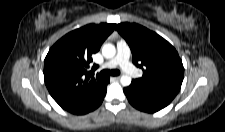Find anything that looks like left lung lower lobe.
<instances>
[{"label":"left lung lower lobe","instance_id":"1","mask_svg":"<svg viewBox=\"0 0 225 132\" xmlns=\"http://www.w3.org/2000/svg\"><path fill=\"white\" fill-rule=\"evenodd\" d=\"M124 93L133 107L148 113L166 107L176 96L169 92L147 90L134 83L124 88Z\"/></svg>","mask_w":225,"mask_h":132}]
</instances>
